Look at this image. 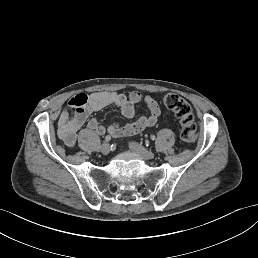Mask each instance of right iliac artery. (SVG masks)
Wrapping results in <instances>:
<instances>
[{"mask_svg":"<svg viewBox=\"0 0 258 258\" xmlns=\"http://www.w3.org/2000/svg\"><path fill=\"white\" fill-rule=\"evenodd\" d=\"M111 136L110 135H107L106 137H105V140L107 141V142H109V141H111Z\"/></svg>","mask_w":258,"mask_h":258,"instance_id":"82829eb1","label":"right iliac artery"}]
</instances>
